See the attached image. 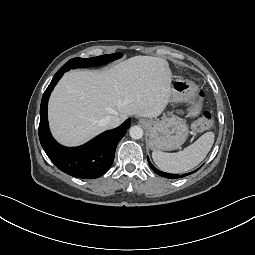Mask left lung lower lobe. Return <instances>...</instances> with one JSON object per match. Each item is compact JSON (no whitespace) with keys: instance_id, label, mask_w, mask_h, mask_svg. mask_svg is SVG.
Returning <instances> with one entry per match:
<instances>
[{"instance_id":"1","label":"left lung lower lobe","mask_w":255,"mask_h":255,"mask_svg":"<svg viewBox=\"0 0 255 255\" xmlns=\"http://www.w3.org/2000/svg\"><path fill=\"white\" fill-rule=\"evenodd\" d=\"M148 163H149L150 167L152 168V170H153L156 174H158V175H160V176H163V177H166V178H168V179H176V178H178V177H184V176L190 174V173H188V174H183V175L179 176V175H177V174L165 173V172H162V171H159L158 169H156V168L151 164L149 158H148ZM191 173H193V172H191Z\"/></svg>"}]
</instances>
